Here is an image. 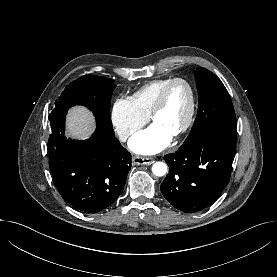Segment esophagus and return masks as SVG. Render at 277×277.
I'll use <instances>...</instances> for the list:
<instances>
[{
	"label": "esophagus",
	"instance_id": "34e87169",
	"mask_svg": "<svg viewBox=\"0 0 277 277\" xmlns=\"http://www.w3.org/2000/svg\"><path fill=\"white\" fill-rule=\"evenodd\" d=\"M154 162L152 157H143L135 155L132 157L133 165H151Z\"/></svg>",
	"mask_w": 277,
	"mask_h": 277
}]
</instances>
